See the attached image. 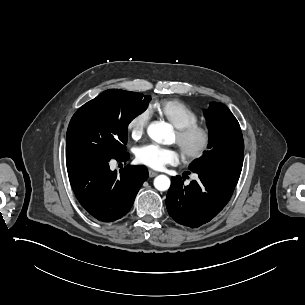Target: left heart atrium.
<instances>
[{
  "label": "left heart atrium",
  "instance_id": "left-heart-atrium-1",
  "mask_svg": "<svg viewBox=\"0 0 305 305\" xmlns=\"http://www.w3.org/2000/svg\"><path fill=\"white\" fill-rule=\"evenodd\" d=\"M136 159L139 163L151 168H161L166 164L177 163L179 153L174 147H164L154 143L143 144L136 148Z\"/></svg>",
  "mask_w": 305,
  "mask_h": 305
}]
</instances>
